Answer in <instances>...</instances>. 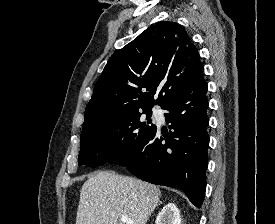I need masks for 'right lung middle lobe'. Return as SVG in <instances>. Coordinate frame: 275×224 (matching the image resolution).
<instances>
[{
    "label": "right lung middle lobe",
    "instance_id": "right-lung-middle-lobe-1",
    "mask_svg": "<svg viewBox=\"0 0 275 224\" xmlns=\"http://www.w3.org/2000/svg\"><path fill=\"white\" fill-rule=\"evenodd\" d=\"M152 108L136 110L95 123L81 133L79 165L98 167L137 145L156 126L150 120ZM142 111V113H141ZM146 114V118L142 114Z\"/></svg>",
    "mask_w": 275,
    "mask_h": 224
}]
</instances>
